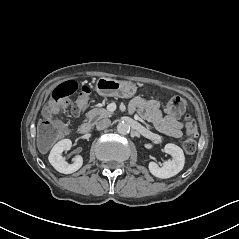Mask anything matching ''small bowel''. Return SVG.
<instances>
[{"label": "small bowel", "mask_w": 239, "mask_h": 239, "mask_svg": "<svg viewBox=\"0 0 239 239\" xmlns=\"http://www.w3.org/2000/svg\"><path fill=\"white\" fill-rule=\"evenodd\" d=\"M130 110L169 137L180 138L183 136L182 123L176 116L163 115L157 100L140 96L135 97L130 103ZM74 114L77 115L76 113Z\"/></svg>", "instance_id": "obj_1"}]
</instances>
